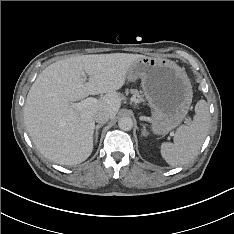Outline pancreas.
I'll return each mask as SVG.
<instances>
[{"label":"pancreas","instance_id":"pancreas-1","mask_svg":"<svg viewBox=\"0 0 234 234\" xmlns=\"http://www.w3.org/2000/svg\"><path fill=\"white\" fill-rule=\"evenodd\" d=\"M128 93V90L126 91ZM130 93L133 94V97L134 98H137V100L140 102V101H143V97L140 95L139 91L137 89H131L129 90Z\"/></svg>","mask_w":234,"mask_h":234}]
</instances>
